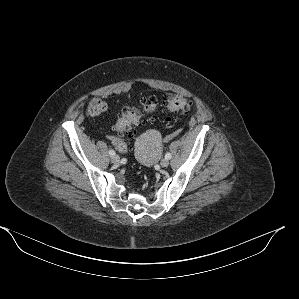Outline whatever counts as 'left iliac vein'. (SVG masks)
Wrapping results in <instances>:
<instances>
[{
    "label": "left iliac vein",
    "mask_w": 299,
    "mask_h": 299,
    "mask_svg": "<svg viewBox=\"0 0 299 299\" xmlns=\"http://www.w3.org/2000/svg\"><path fill=\"white\" fill-rule=\"evenodd\" d=\"M160 165L165 168L169 165V161L167 159H162Z\"/></svg>",
    "instance_id": "1"
}]
</instances>
